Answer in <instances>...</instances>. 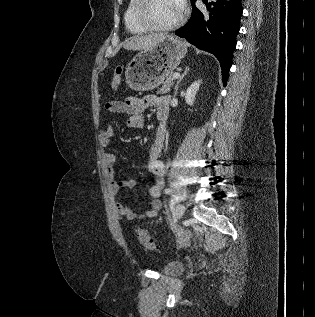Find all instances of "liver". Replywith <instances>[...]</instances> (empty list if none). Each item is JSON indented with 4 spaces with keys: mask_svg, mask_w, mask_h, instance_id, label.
Wrapping results in <instances>:
<instances>
[{
    "mask_svg": "<svg viewBox=\"0 0 315 317\" xmlns=\"http://www.w3.org/2000/svg\"><path fill=\"white\" fill-rule=\"evenodd\" d=\"M167 36L164 33L150 34L144 36H134L128 39L124 44V49L127 50H148L156 45L161 39Z\"/></svg>",
    "mask_w": 315,
    "mask_h": 317,
    "instance_id": "liver-1",
    "label": "liver"
}]
</instances>
